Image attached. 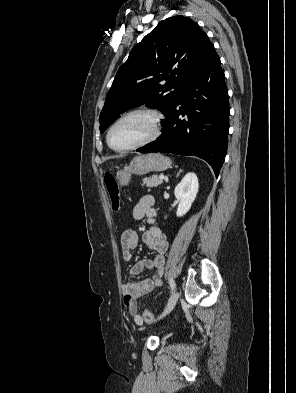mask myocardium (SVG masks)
I'll list each match as a JSON object with an SVG mask.
<instances>
[{"mask_svg":"<svg viewBox=\"0 0 296 393\" xmlns=\"http://www.w3.org/2000/svg\"><path fill=\"white\" fill-rule=\"evenodd\" d=\"M133 115H146V116L150 117L153 122L152 134L148 138H146L145 140H143L139 143H136L132 146L125 147V148L114 147L111 143V134H112L113 129L122 120H124L130 116H133ZM161 127H162V116L157 111L152 110V109H134V110L124 113L111 125V127L109 128L108 133H107V143H108L109 147L116 152H126V151H130V150L138 149V148L146 146V145L154 142L155 140H157L159 138V136L161 135Z\"/></svg>","mask_w":296,"mask_h":393,"instance_id":"myocardium-1","label":"myocardium"}]
</instances>
